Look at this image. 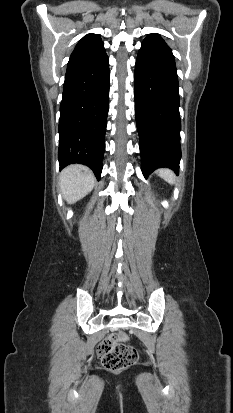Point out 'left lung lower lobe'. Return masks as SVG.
<instances>
[{"mask_svg": "<svg viewBox=\"0 0 233 413\" xmlns=\"http://www.w3.org/2000/svg\"><path fill=\"white\" fill-rule=\"evenodd\" d=\"M135 114L142 173L160 167L179 172L181 158L178 77L171 49L159 34L141 44L135 65Z\"/></svg>", "mask_w": 233, "mask_h": 413, "instance_id": "1", "label": "left lung lower lobe"}]
</instances>
